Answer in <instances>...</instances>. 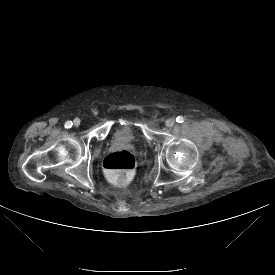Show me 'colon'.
<instances>
[{
    "label": "colon",
    "instance_id": "colon-1",
    "mask_svg": "<svg viewBox=\"0 0 275 275\" xmlns=\"http://www.w3.org/2000/svg\"><path fill=\"white\" fill-rule=\"evenodd\" d=\"M135 166V158L127 150L113 152L103 161L106 174L118 184L129 183L133 179Z\"/></svg>",
    "mask_w": 275,
    "mask_h": 275
}]
</instances>
